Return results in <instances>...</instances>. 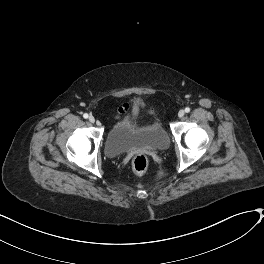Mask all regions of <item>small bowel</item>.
Wrapping results in <instances>:
<instances>
[{"label":"small bowel","mask_w":264,"mask_h":264,"mask_svg":"<svg viewBox=\"0 0 264 264\" xmlns=\"http://www.w3.org/2000/svg\"><path fill=\"white\" fill-rule=\"evenodd\" d=\"M140 110L141 103L138 101L133 104H126L123 107L124 116H121L120 118L123 119V121H134L138 118Z\"/></svg>","instance_id":"small-bowel-1"}]
</instances>
